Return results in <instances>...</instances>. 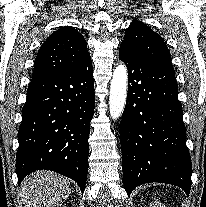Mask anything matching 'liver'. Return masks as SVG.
I'll return each mask as SVG.
<instances>
[{
  "label": "liver",
  "instance_id": "6515ba94",
  "mask_svg": "<svg viewBox=\"0 0 206 207\" xmlns=\"http://www.w3.org/2000/svg\"><path fill=\"white\" fill-rule=\"evenodd\" d=\"M25 207H59L71 193L69 179L50 171H38L21 183Z\"/></svg>",
  "mask_w": 206,
  "mask_h": 207
}]
</instances>
